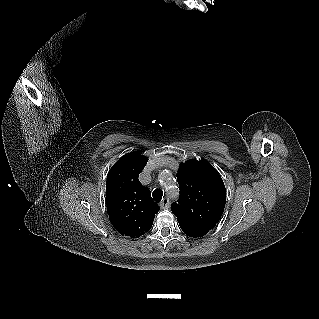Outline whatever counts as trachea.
Listing matches in <instances>:
<instances>
[{
  "instance_id": "3493384b",
  "label": "trachea",
  "mask_w": 319,
  "mask_h": 319,
  "mask_svg": "<svg viewBox=\"0 0 319 319\" xmlns=\"http://www.w3.org/2000/svg\"><path fill=\"white\" fill-rule=\"evenodd\" d=\"M152 196L156 202H160L163 196V191L161 189H156L153 191Z\"/></svg>"
}]
</instances>
